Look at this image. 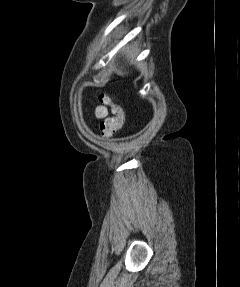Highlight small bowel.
<instances>
[{
    "label": "small bowel",
    "instance_id": "obj_1",
    "mask_svg": "<svg viewBox=\"0 0 240 287\" xmlns=\"http://www.w3.org/2000/svg\"><path fill=\"white\" fill-rule=\"evenodd\" d=\"M95 117L104 121L108 115V110L104 105H97L94 109Z\"/></svg>",
    "mask_w": 240,
    "mask_h": 287
}]
</instances>
